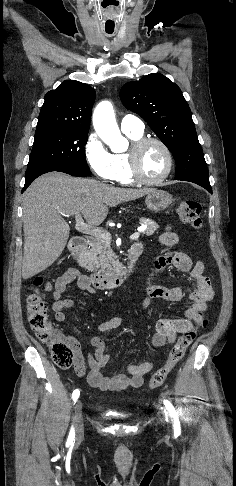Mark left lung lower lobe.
Instances as JSON below:
<instances>
[{
  "mask_svg": "<svg viewBox=\"0 0 236 486\" xmlns=\"http://www.w3.org/2000/svg\"><path fill=\"white\" fill-rule=\"evenodd\" d=\"M176 180H177V179H176ZM208 191H209V192H212V189H211V188H209V189H208Z\"/></svg>",
  "mask_w": 236,
  "mask_h": 486,
  "instance_id": "0a47b994",
  "label": "left lung lower lobe"
}]
</instances>
